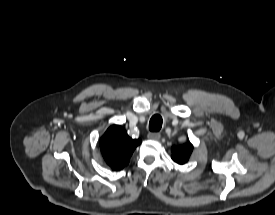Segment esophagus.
Wrapping results in <instances>:
<instances>
[{"label":"esophagus","mask_w":275,"mask_h":215,"mask_svg":"<svg viewBox=\"0 0 275 215\" xmlns=\"http://www.w3.org/2000/svg\"><path fill=\"white\" fill-rule=\"evenodd\" d=\"M147 137H148L149 140H159L161 135L158 132H151V133L148 134Z\"/></svg>","instance_id":"34e87169"}]
</instances>
